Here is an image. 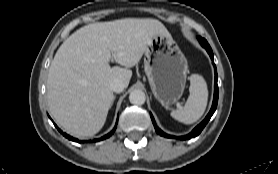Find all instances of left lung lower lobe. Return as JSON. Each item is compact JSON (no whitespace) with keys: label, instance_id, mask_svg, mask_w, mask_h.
I'll use <instances>...</instances> for the list:
<instances>
[{"label":"left lung lower lobe","instance_id":"obj_1","mask_svg":"<svg viewBox=\"0 0 278 174\" xmlns=\"http://www.w3.org/2000/svg\"><path fill=\"white\" fill-rule=\"evenodd\" d=\"M204 48L208 52L210 58L213 60V52H212L211 47L206 46ZM213 66H214V73H215L214 99H213L211 110L208 113V115L205 117V119L198 126H196L191 133H189V134H187L185 136L176 137V136H170V135L164 133L162 130H160L156 126V123H155V120H154L152 114H150L152 122H153V125L155 127V130H156L157 134H159L161 136H164V137H168V138H179L181 140L191 139V138H194V137H196V136H198L200 134V132L203 130V128L206 126V124L210 120L211 116L214 114V112H215V110L217 108V103H218V94H219V92H218V85H217L218 75H217L216 66H215L214 63H213Z\"/></svg>","mask_w":278,"mask_h":174}]
</instances>
